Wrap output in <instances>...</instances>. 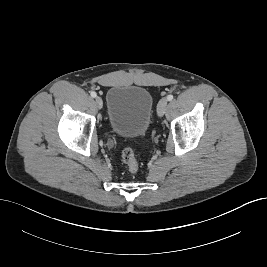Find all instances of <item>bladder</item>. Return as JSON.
Segmentation results:
<instances>
[{
	"mask_svg": "<svg viewBox=\"0 0 267 267\" xmlns=\"http://www.w3.org/2000/svg\"><path fill=\"white\" fill-rule=\"evenodd\" d=\"M107 121L110 129L124 137L145 135L150 127L153 97L144 87L112 86L106 96Z\"/></svg>",
	"mask_w": 267,
	"mask_h": 267,
	"instance_id": "31cf9c89",
	"label": "bladder"
}]
</instances>
